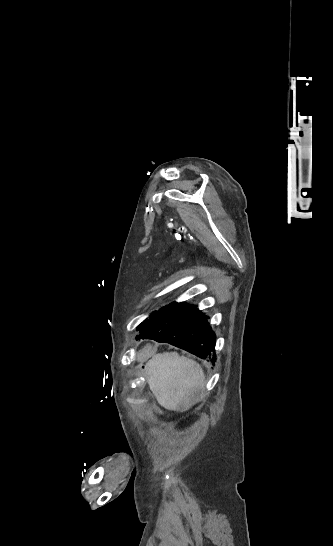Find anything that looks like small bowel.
I'll return each instance as SVG.
<instances>
[{"label":"small bowel","mask_w":333,"mask_h":546,"mask_svg":"<svg viewBox=\"0 0 333 546\" xmlns=\"http://www.w3.org/2000/svg\"><path fill=\"white\" fill-rule=\"evenodd\" d=\"M143 354L138 355V360L140 361H150L151 356L155 354L156 349L152 345H146L142 349Z\"/></svg>","instance_id":"small-bowel-1"}]
</instances>
